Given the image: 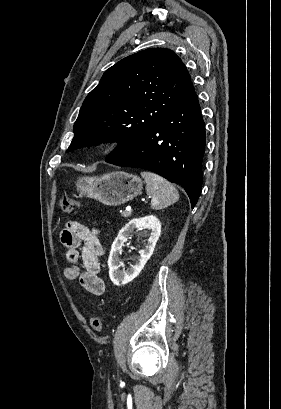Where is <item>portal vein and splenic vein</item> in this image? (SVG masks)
<instances>
[{
    "instance_id": "obj_1",
    "label": "portal vein and splenic vein",
    "mask_w": 281,
    "mask_h": 409,
    "mask_svg": "<svg viewBox=\"0 0 281 409\" xmlns=\"http://www.w3.org/2000/svg\"><path fill=\"white\" fill-rule=\"evenodd\" d=\"M140 201L142 202V201H147V198L146 197H141L140 198ZM122 213H123V216H124V219H127V217H130L131 216V213L129 212V210L127 209V205H126V209H123L122 210Z\"/></svg>"
}]
</instances>
